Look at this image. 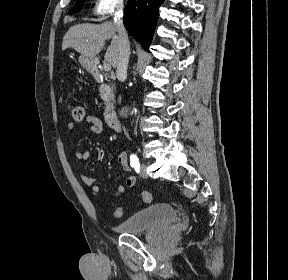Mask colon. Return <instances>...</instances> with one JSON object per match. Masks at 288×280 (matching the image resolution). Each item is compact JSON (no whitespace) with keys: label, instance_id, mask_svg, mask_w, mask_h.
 <instances>
[{"label":"colon","instance_id":"obj_1","mask_svg":"<svg viewBox=\"0 0 288 280\" xmlns=\"http://www.w3.org/2000/svg\"><path fill=\"white\" fill-rule=\"evenodd\" d=\"M68 111L72 117V119L76 122H81L85 116V109L82 105L79 104H69ZM141 198L145 203H149L151 201V195L148 192H143L141 194ZM124 208L119 206L114 210V216L119 218L123 215Z\"/></svg>","mask_w":288,"mask_h":280}]
</instances>
